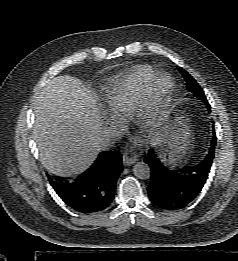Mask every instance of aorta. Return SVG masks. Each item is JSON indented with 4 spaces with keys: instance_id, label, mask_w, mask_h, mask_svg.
Segmentation results:
<instances>
[{
    "instance_id": "762f6f07",
    "label": "aorta",
    "mask_w": 238,
    "mask_h": 261,
    "mask_svg": "<svg viewBox=\"0 0 238 261\" xmlns=\"http://www.w3.org/2000/svg\"><path fill=\"white\" fill-rule=\"evenodd\" d=\"M133 174L138 179H149L150 178V167L145 162H138L133 166Z\"/></svg>"
}]
</instances>
